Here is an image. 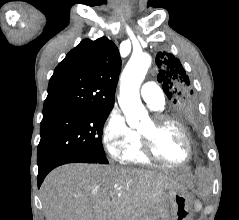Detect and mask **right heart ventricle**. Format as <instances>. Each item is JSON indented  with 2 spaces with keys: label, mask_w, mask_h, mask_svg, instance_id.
Listing matches in <instances>:
<instances>
[{
  "label": "right heart ventricle",
  "mask_w": 239,
  "mask_h": 220,
  "mask_svg": "<svg viewBox=\"0 0 239 220\" xmlns=\"http://www.w3.org/2000/svg\"><path fill=\"white\" fill-rule=\"evenodd\" d=\"M122 160L130 164L146 165L151 163V160L142 151L140 139L134 146L125 151Z\"/></svg>",
  "instance_id": "right-heart-ventricle-1"
}]
</instances>
